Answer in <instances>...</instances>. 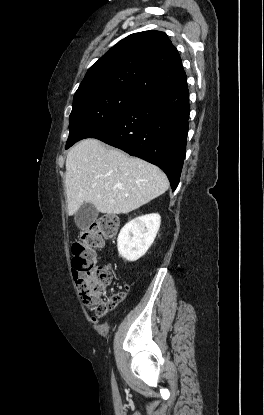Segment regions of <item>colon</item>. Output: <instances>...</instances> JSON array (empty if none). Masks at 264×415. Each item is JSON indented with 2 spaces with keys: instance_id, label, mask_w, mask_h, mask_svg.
Instances as JSON below:
<instances>
[{
  "instance_id": "5ec220e1",
  "label": "colon",
  "mask_w": 264,
  "mask_h": 415,
  "mask_svg": "<svg viewBox=\"0 0 264 415\" xmlns=\"http://www.w3.org/2000/svg\"><path fill=\"white\" fill-rule=\"evenodd\" d=\"M118 228L117 215L103 216L94 221L72 246L71 268L78 275L81 300L93 312L94 319L105 316L124 299V293L106 297L112 280V267L97 264V251L104 247L105 240L116 237Z\"/></svg>"
}]
</instances>
